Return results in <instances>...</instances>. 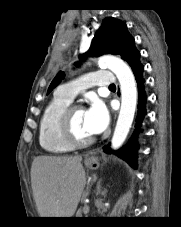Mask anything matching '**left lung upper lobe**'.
<instances>
[{"label": "left lung upper lobe", "mask_w": 181, "mask_h": 227, "mask_svg": "<svg viewBox=\"0 0 181 227\" xmlns=\"http://www.w3.org/2000/svg\"><path fill=\"white\" fill-rule=\"evenodd\" d=\"M132 47H134V38L129 34L126 24L113 17H107L95 34L89 51L81 58L90 55L114 54L125 59ZM64 76L65 73L62 71L55 76L48 88V93L61 82Z\"/></svg>", "instance_id": "1"}]
</instances>
